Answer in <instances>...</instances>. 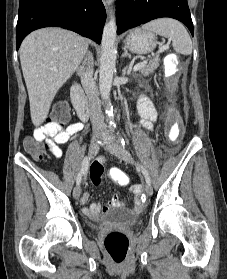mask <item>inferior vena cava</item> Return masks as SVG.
I'll list each match as a JSON object with an SVG mask.
<instances>
[{
  "mask_svg": "<svg viewBox=\"0 0 227 279\" xmlns=\"http://www.w3.org/2000/svg\"><path fill=\"white\" fill-rule=\"evenodd\" d=\"M81 83L87 94L89 102V114L95 133L105 131V124L101 114L100 100L96 83L93 79V66L88 65L81 74Z\"/></svg>",
  "mask_w": 227,
  "mask_h": 279,
  "instance_id": "obj_1",
  "label": "inferior vena cava"
}]
</instances>
